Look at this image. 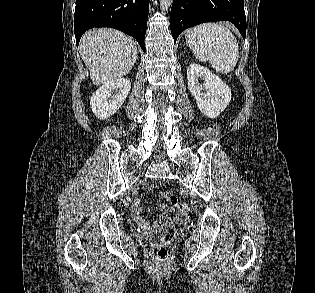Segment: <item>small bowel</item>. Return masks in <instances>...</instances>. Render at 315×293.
I'll return each mask as SVG.
<instances>
[{"label":"small bowel","instance_id":"obj_1","mask_svg":"<svg viewBox=\"0 0 315 293\" xmlns=\"http://www.w3.org/2000/svg\"><path fill=\"white\" fill-rule=\"evenodd\" d=\"M143 190L146 193H150L153 190V185L151 183H147L144 185ZM161 208L166 210L168 215L176 214V209L168 205L161 204ZM141 211H142L141 200L136 199L131 206V215L133 219L136 221V223L139 225V227L143 230H146L149 228V224L141 217ZM184 217L185 215L178 214L177 220H183ZM169 220L170 219L167 215H162L157 221L153 223V228L155 230L160 229L164 224L168 223Z\"/></svg>","mask_w":315,"mask_h":293}]
</instances>
